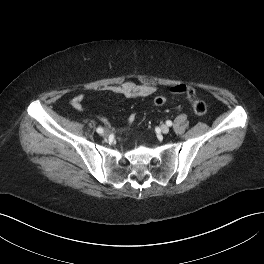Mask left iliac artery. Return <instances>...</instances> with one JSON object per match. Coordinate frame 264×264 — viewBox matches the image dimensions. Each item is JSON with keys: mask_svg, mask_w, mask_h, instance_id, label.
Listing matches in <instances>:
<instances>
[{"mask_svg": "<svg viewBox=\"0 0 264 264\" xmlns=\"http://www.w3.org/2000/svg\"><path fill=\"white\" fill-rule=\"evenodd\" d=\"M166 124H167L168 126H172V121L168 120V121H166Z\"/></svg>", "mask_w": 264, "mask_h": 264, "instance_id": "left-iliac-artery-1", "label": "left iliac artery"}]
</instances>
